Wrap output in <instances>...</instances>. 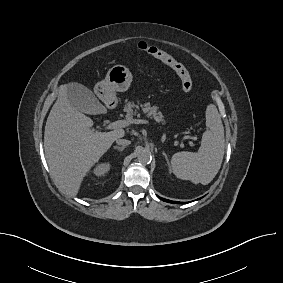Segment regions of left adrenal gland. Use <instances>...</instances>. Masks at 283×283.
<instances>
[{
	"mask_svg": "<svg viewBox=\"0 0 283 283\" xmlns=\"http://www.w3.org/2000/svg\"><path fill=\"white\" fill-rule=\"evenodd\" d=\"M162 154H163V156L165 157V159H166V161H167V164H168L169 169L171 170V168H170V163H169V159H168L167 154H166L165 152H162Z\"/></svg>",
	"mask_w": 283,
	"mask_h": 283,
	"instance_id": "obj_1",
	"label": "left adrenal gland"
}]
</instances>
